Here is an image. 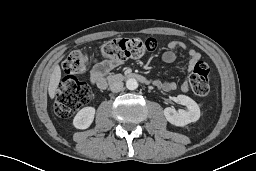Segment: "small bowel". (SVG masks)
<instances>
[{
	"label": "small bowel",
	"mask_w": 256,
	"mask_h": 171,
	"mask_svg": "<svg viewBox=\"0 0 256 171\" xmlns=\"http://www.w3.org/2000/svg\"><path fill=\"white\" fill-rule=\"evenodd\" d=\"M178 49H186L185 43H183L179 39H174L168 44V50H166L162 54V61L164 63H172L176 60V50ZM189 55V63L188 68L189 70L193 69L196 63H198L201 59V54L195 49L188 50ZM122 63V60H115V59H107L99 61L97 59L93 60V66L90 73V80L93 85L100 89H104L106 87V75L115 67L119 66ZM154 85L163 90V91H173L176 89V84L173 82H165L160 80H155ZM181 89H187V83L183 82L181 84Z\"/></svg>",
	"instance_id": "1"
}]
</instances>
